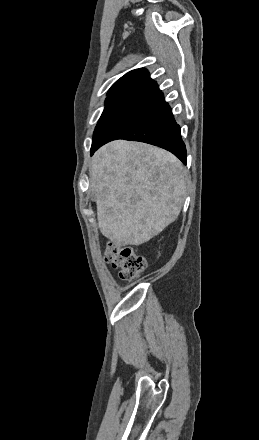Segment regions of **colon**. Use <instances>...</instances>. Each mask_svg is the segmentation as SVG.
I'll list each match as a JSON object with an SVG mask.
<instances>
[{"label": "colon", "mask_w": 259, "mask_h": 440, "mask_svg": "<svg viewBox=\"0 0 259 440\" xmlns=\"http://www.w3.org/2000/svg\"><path fill=\"white\" fill-rule=\"evenodd\" d=\"M104 258L107 263L119 268L120 278L125 281L139 277L146 269V259L129 245L109 243Z\"/></svg>", "instance_id": "1"}]
</instances>
